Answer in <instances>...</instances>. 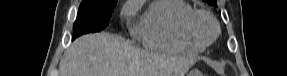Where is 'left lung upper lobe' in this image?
<instances>
[{
	"label": "left lung upper lobe",
	"instance_id": "obj_1",
	"mask_svg": "<svg viewBox=\"0 0 287 76\" xmlns=\"http://www.w3.org/2000/svg\"><path fill=\"white\" fill-rule=\"evenodd\" d=\"M203 1L207 2L210 5H213V6L217 7L216 0H203Z\"/></svg>",
	"mask_w": 287,
	"mask_h": 76
}]
</instances>
